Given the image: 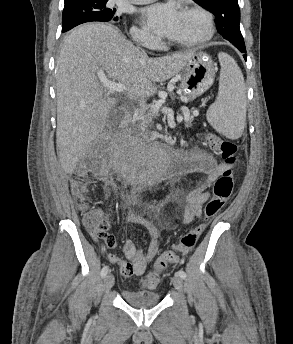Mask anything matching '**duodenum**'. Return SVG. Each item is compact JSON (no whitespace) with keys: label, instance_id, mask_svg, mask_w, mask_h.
Returning a JSON list of instances; mask_svg holds the SVG:
<instances>
[{"label":"duodenum","instance_id":"410a0bca","mask_svg":"<svg viewBox=\"0 0 293 344\" xmlns=\"http://www.w3.org/2000/svg\"><path fill=\"white\" fill-rule=\"evenodd\" d=\"M130 124V119L129 118H126L123 120L122 122V126L125 127V126H129ZM113 152L116 153L117 152V148H114L113 149ZM115 159V158H114ZM186 160V156L185 155H178V158H175L174 162L175 163H178L177 165V169L180 170L181 168V165L182 163Z\"/></svg>","mask_w":293,"mask_h":344}]
</instances>
